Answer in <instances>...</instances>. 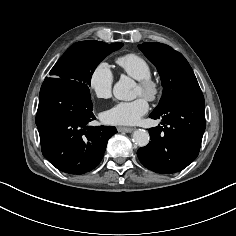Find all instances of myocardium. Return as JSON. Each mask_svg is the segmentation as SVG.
Masks as SVG:
<instances>
[{"mask_svg": "<svg viewBox=\"0 0 236 236\" xmlns=\"http://www.w3.org/2000/svg\"><path fill=\"white\" fill-rule=\"evenodd\" d=\"M138 86L141 88L143 96L149 101L157 100L161 94L160 82L151 76L139 79Z\"/></svg>", "mask_w": 236, "mask_h": 236, "instance_id": "f54148a6", "label": "myocardium"}]
</instances>
